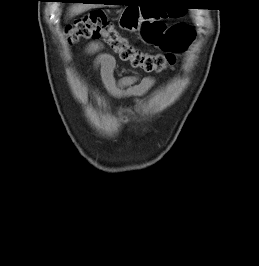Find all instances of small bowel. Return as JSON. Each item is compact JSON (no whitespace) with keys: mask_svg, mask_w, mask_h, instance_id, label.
<instances>
[{"mask_svg":"<svg viewBox=\"0 0 259 266\" xmlns=\"http://www.w3.org/2000/svg\"><path fill=\"white\" fill-rule=\"evenodd\" d=\"M101 48V43L92 42L87 46L86 52L95 55L94 67L99 71L107 92L118 99L132 98L138 102L154 86L155 78L145 77L139 81L137 77H126L116 80L114 77L116 61L112 55L101 53Z\"/></svg>","mask_w":259,"mask_h":266,"instance_id":"obj_1","label":"small bowel"}]
</instances>
